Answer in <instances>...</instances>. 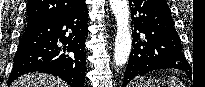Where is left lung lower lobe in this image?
<instances>
[{"label": "left lung lower lobe", "instance_id": "1", "mask_svg": "<svg viewBox=\"0 0 205 87\" xmlns=\"http://www.w3.org/2000/svg\"><path fill=\"white\" fill-rule=\"evenodd\" d=\"M129 5L134 25L133 49L122 86L157 69L176 68L188 74L190 67L166 0H129Z\"/></svg>", "mask_w": 205, "mask_h": 87}]
</instances>
